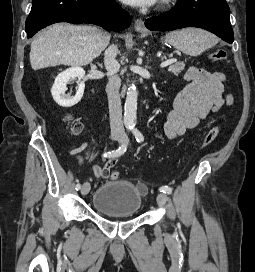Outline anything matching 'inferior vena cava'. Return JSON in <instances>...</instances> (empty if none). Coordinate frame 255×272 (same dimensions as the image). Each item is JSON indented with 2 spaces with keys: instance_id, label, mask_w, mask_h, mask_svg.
I'll use <instances>...</instances> for the list:
<instances>
[{
  "instance_id": "obj_1",
  "label": "inferior vena cava",
  "mask_w": 255,
  "mask_h": 272,
  "mask_svg": "<svg viewBox=\"0 0 255 272\" xmlns=\"http://www.w3.org/2000/svg\"><path fill=\"white\" fill-rule=\"evenodd\" d=\"M117 53V46L110 45L105 51L104 64L107 70V75L109 77L106 86V93L109 103L111 133L122 135L125 131L122 121V107L119 94L121 80L117 76V72L120 68L119 63L116 60Z\"/></svg>"
}]
</instances>
